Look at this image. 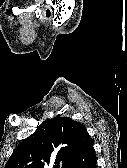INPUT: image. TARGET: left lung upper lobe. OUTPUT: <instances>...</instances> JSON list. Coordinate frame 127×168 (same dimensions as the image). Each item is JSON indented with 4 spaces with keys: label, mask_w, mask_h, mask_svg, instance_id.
<instances>
[{
    "label": "left lung upper lobe",
    "mask_w": 127,
    "mask_h": 168,
    "mask_svg": "<svg viewBox=\"0 0 127 168\" xmlns=\"http://www.w3.org/2000/svg\"><path fill=\"white\" fill-rule=\"evenodd\" d=\"M89 137L85 126L69 117L46 119L23 140L5 168H74L79 151Z\"/></svg>",
    "instance_id": "left-lung-upper-lobe-1"
}]
</instances>
